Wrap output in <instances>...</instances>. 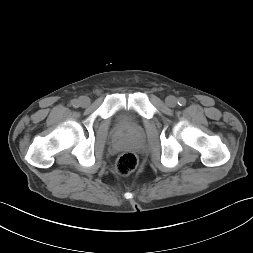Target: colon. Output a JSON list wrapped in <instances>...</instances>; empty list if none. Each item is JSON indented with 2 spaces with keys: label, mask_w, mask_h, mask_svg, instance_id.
I'll return each mask as SVG.
<instances>
[{
  "label": "colon",
  "mask_w": 253,
  "mask_h": 253,
  "mask_svg": "<svg viewBox=\"0 0 253 253\" xmlns=\"http://www.w3.org/2000/svg\"><path fill=\"white\" fill-rule=\"evenodd\" d=\"M138 164V157L134 152L126 151L121 153L115 164L116 171L120 175H129L132 173Z\"/></svg>",
  "instance_id": "colon-1"
}]
</instances>
